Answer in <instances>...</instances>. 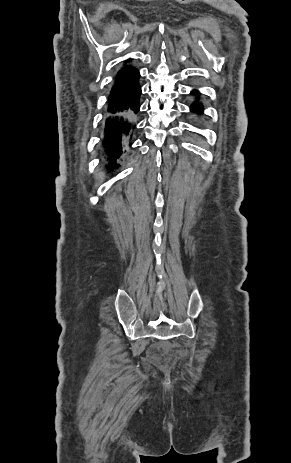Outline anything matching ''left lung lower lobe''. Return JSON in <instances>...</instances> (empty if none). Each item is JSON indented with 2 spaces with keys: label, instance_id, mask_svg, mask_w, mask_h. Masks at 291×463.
<instances>
[{
  "label": "left lung lower lobe",
  "instance_id": "0a47b994",
  "mask_svg": "<svg viewBox=\"0 0 291 463\" xmlns=\"http://www.w3.org/2000/svg\"><path fill=\"white\" fill-rule=\"evenodd\" d=\"M191 94L198 96L199 92L197 90H193ZM190 111L197 115H201L203 113V105L199 102H195L190 106Z\"/></svg>",
  "mask_w": 291,
  "mask_h": 463
}]
</instances>
